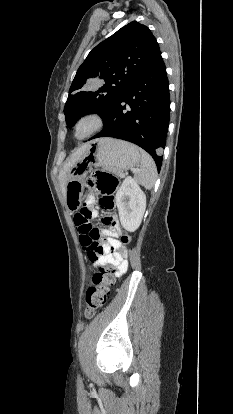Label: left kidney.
<instances>
[{"label":"left kidney","instance_id":"obj_1","mask_svg":"<svg viewBox=\"0 0 233 414\" xmlns=\"http://www.w3.org/2000/svg\"><path fill=\"white\" fill-rule=\"evenodd\" d=\"M115 201L122 227L129 232L137 230L146 209V195L135 179L130 176L124 179Z\"/></svg>","mask_w":233,"mask_h":414}]
</instances>
